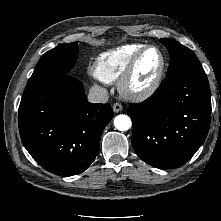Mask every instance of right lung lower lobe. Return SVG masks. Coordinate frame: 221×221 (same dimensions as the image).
Segmentation results:
<instances>
[{
	"label": "right lung lower lobe",
	"instance_id": "1",
	"mask_svg": "<svg viewBox=\"0 0 221 221\" xmlns=\"http://www.w3.org/2000/svg\"><path fill=\"white\" fill-rule=\"evenodd\" d=\"M110 104L87 101L82 83L56 74L31 76L19 106L21 140L47 171L72 176L85 171L99 152Z\"/></svg>",
	"mask_w": 221,
	"mask_h": 221
}]
</instances>
